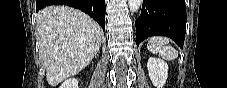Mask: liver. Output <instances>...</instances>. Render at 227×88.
Listing matches in <instances>:
<instances>
[{"label":"liver","instance_id":"liver-1","mask_svg":"<svg viewBox=\"0 0 227 88\" xmlns=\"http://www.w3.org/2000/svg\"><path fill=\"white\" fill-rule=\"evenodd\" d=\"M36 29L46 80L53 87L87 67L103 39L101 27L91 17L64 5L40 10Z\"/></svg>","mask_w":227,"mask_h":88}]
</instances>
